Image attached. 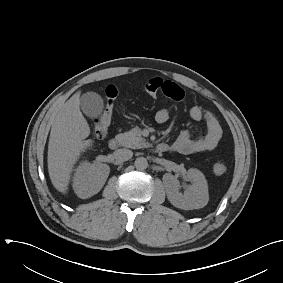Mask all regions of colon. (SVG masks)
<instances>
[{"label":"colon","instance_id":"colon-1","mask_svg":"<svg viewBox=\"0 0 283 283\" xmlns=\"http://www.w3.org/2000/svg\"><path fill=\"white\" fill-rule=\"evenodd\" d=\"M163 85V80L160 78H152L144 84V91L151 95L155 96L161 92ZM117 97L116 87L109 85L105 90V107L101 115L94 121L92 126L93 134L96 137H103L108 129V126L111 121L112 111L114 108L115 100ZM227 170V165L222 162H216L213 165V172L216 175H221Z\"/></svg>","mask_w":283,"mask_h":283}]
</instances>
